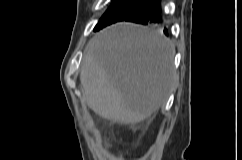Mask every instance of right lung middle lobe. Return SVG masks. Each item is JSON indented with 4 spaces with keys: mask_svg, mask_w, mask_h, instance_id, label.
Segmentation results:
<instances>
[{
    "mask_svg": "<svg viewBox=\"0 0 242 160\" xmlns=\"http://www.w3.org/2000/svg\"><path fill=\"white\" fill-rule=\"evenodd\" d=\"M149 0H113L112 5L101 17L94 31H98L112 23L123 20L131 12Z\"/></svg>",
    "mask_w": 242,
    "mask_h": 160,
    "instance_id": "1",
    "label": "right lung middle lobe"
}]
</instances>
